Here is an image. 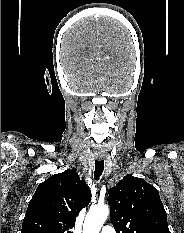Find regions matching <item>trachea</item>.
Listing matches in <instances>:
<instances>
[{"instance_id":"3493384b","label":"trachea","mask_w":184,"mask_h":233,"mask_svg":"<svg viewBox=\"0 0 184 233\" xmlns=\"http://www.w3.org/2000/svg\"><path fill=\"white\" fill-rule=\"evenodd\" d=\"M104 170V160H96L95 161V171L94 176L95 180H99Z\"/></svg>"}]
</instances>
